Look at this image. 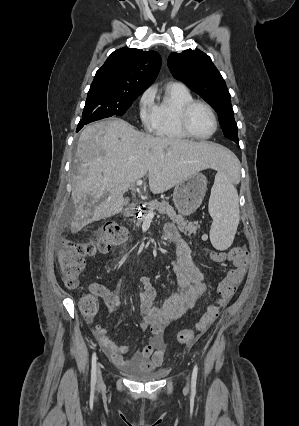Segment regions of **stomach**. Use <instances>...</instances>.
I'll use <instances>...</instances> for the list:
<instances>
[{
	"label": "stomach",
	"mask_w": 299,
	"mask_h": 426,
	"mask_svg": "<svg viewBox=\"0 0 299 426\" xmlns=\"http://www.w3.org/2000/svg\"><path fill=\"white\" fill-rule=\"evenodd\" d=\"M207 191V179L201 173L179 182L173 192V202L183 216L193 214L201 205Z\"/></svg>",
	"instance_id": "0dacf381"
}]
</instances>
